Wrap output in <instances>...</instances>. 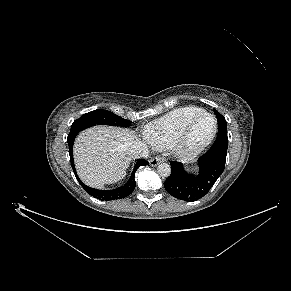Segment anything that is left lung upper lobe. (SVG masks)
<instances>
[{
  "label": "left lung upper lobe",
  "instance_id": "obj_1",
  "mask_svg": "<svg viewBox=\"0 0 291 291\" xmlns=\"http://www.w3.org/2000/svg\"><path fill=\"white\" fill-rule=\"evenodd\" d=\"M214 113L218 119V129L219 131H224L227 133V123L225 118L217 111L214 110Z\"/></svg>",
  "mask_w": 291,
  "mask_h": 291
}]
</instances>
